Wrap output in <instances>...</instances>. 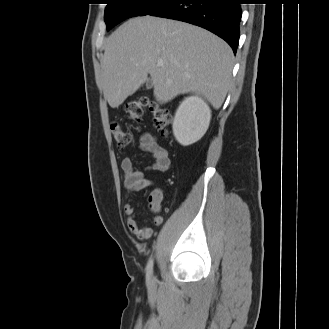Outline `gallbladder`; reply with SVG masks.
<instances>
[{
  "label": "gallbladder",
  "instance_id": "bac80fb5",
  "mask_svg": "<svg viewBox=\"0 0 329 329\" xmlns=\"http://www.w3.org/2000/svg\"><path fill=\"white\" fill-rule=\"evenodd\" d=\"M153 86V82H152V79H148L147 82H146V88L147 89H151Z\"/></svg>",
  "mask_w": 329,
  "mask_h": 329
}]
</instances>
